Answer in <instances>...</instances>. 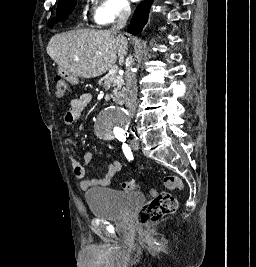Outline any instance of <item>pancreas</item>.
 <instances>
[{
	"instance_id": "cf45deb5",
	"label": "pancreas",
	"mask_w": 256,
	"mask_h": 267,
	"mask_svg": "<svg viewBox=\"0 0 256 267\" xmlns=\"http://www.w3.org/2000/svg\"><path fill=\"white\" fill-rule=\"evenodd\" d=\"M116 74H107L103 80H100L99 84L100 86H103L105 90H110V88H113V94H109L111 98H113V102L115 104H124V88H123V80L122 76H118L117 82H114Z\"/></svg>"
}]
</instances>
